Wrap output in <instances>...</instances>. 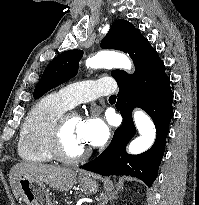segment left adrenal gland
<instances>
[{"label": "left adrenal gland", "instance_id": "obj_1", "mask_svg": "<svg viewBox=\"0 0 199 205\" xmlns=\"http://www.w3.org/2000/svg\"><path fill=\"white\" fill-rule=\"evenodd\" d=\"M116 195H117V193L114 192V193H112V194L103 196V197H102V203H101L100 205H106L109 200H112V199H114V198H117Z\"/></svg>", "mask_w": 199, "mask_h": 205}]
</instances>
